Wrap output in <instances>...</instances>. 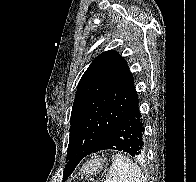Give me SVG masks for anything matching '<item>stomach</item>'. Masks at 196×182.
<instances>
[{
    "label": "stomach",
    "instance_id": "1",
    "mask_svg": "<svg viewBox=\"0 0 196 182\" xmlns=\"http://www.w3.org/2000/svg\"><path fill=\"white\" fill-rule=\"evenodd\" d=\"M103 167V161L101 158H95L90 160L87 164L82 167V174L93 175L99 172Z\"/></svg>",
    "mask_w": 196,
    "mask_h": 182
}]
</instances>
